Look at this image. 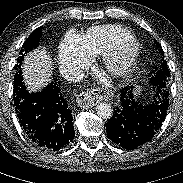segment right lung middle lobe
I'll return each mask as SVG.
<instances>
[{"instance_id":"dd1d6c3e","label":"right lung middle lobe","mask_w":183,"mask_h":183,"mask_svg":"<svg viewBox=\"0 0 183 183\" xmlns=\"http://www.w3.org/2000/svg\"><path fill=\"white\" fill-rule=\"evenodd\" d=\"M42 29L43 27H38L35 29V31L29 36L27 41L23 44L21 51H20V57L17 60V64L15 65L16 74L14 76V81H17V77L21 75V65L22 61L24 60V56L34 48H36L39 45V40L42 36Z\"/></svg>"}]
</instances>
